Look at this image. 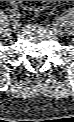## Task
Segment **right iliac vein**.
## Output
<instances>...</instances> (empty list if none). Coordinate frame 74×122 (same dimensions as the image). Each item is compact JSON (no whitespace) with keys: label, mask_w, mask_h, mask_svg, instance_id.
<instances>
[{"label":"right iliac vein","mask_w":74,"mask_h":122,"mask_svg":"<svg viewBox=\"0 0 74 122\" xmlns=\"http://www.w3.org/2000/svg\"><path fill=\"white\" fill-rule=\"evenodd\" d=\"M19 24L18 23H15L14 25H13V30L14 31H18L19 30Z\"/></svg>","instance_id":"obj_1"}]
</instances>
